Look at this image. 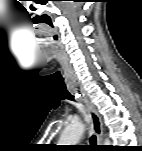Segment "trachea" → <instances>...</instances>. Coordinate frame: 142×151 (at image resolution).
<instances>
[{"label":"trachea","mask_w":142,"mask_h":151,"mask_svg":"<svg viewBox=\"0 0 142 151\" xmlns=\"http://www.w3.org/2000/svg\"><path fill=\"white\" fill-rule=\"evenodd\" d=\"M63 97H64L65 99H68V100H71V101H75V98H74L70 93L64 94ZM90 143H91L92 145H96V136H95V135H92V136L90 137Z\"/></svg>","instance_id":"trachea-1"}]
</instances>
